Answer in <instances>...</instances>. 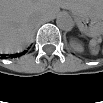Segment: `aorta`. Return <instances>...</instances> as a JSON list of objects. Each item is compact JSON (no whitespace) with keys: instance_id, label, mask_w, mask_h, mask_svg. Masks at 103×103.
<instances>
[{"instance_id":"aorta-1","label":"aorta","mask_w":103,"mask_h":103,"mask_svg":"<svg viewBox=\"0 0 103 103\" xmlns=\"http://www.w3.org/2000/svg\"><path fill=\"white\" fill-rule=\"evenodd\" d=\"M56 25L61 30L70 31L73 28L74 22L68 13H60L57 16Z\"/></svg>"}]
</instances>
